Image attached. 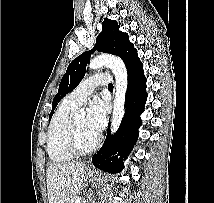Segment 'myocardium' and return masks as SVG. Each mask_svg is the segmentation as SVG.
Returning a JSON list of instances; mask_svg holds the SVG:
<instances>
[{
    "label": "myocardium",
    "mask_w": 214,
    "mask_h": 203,
    "mask_svg": "<svg viewBox=\"0 0 214 203\" xmlns=\"http://www.w3.org/2000/svg\"><path fill=\"white\" fill-rule=\"evenodd\" d=\"M101 137L97 134L94 143L87 148L80 145L78 131L74 120H71L67 132V148L75 156H83L92 153L100 145Z\"/></svg>",
    "instance_id": "1"
}]
</instances>
